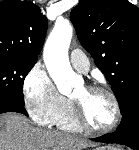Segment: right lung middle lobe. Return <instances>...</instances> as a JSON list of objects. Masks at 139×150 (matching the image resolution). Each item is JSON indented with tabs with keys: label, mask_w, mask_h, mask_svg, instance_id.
Listing matches in <instances>:
<instances>
[{
	"label": "right lung middle lobe",
	"mask_w": 139,
	"mask_h": 150,
	"mask_svg": "<svg viewBox=\"0 0 139 150\" xmlns=\"http://www.w3.org/2000/svg\"><path fill=\"white\" fill-rule=\"evenodd\" d=\"M37 60L0 53V98L24 103V79Z\"/></svg>",
	"instance_id": "1"
}]
</instances>
